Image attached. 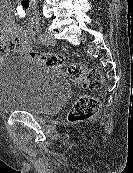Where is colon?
<instances>
[{"instance_id": "obj_1", "label": "colon", "mask_w": 133, "mask_h": 173, "mask_svg": "<svg viewBox=\"0 0 133 173\" xmlns=\"http://www.w3.org/2000/svg\"><path fill=\"white\" fill-rule=\"evenodd\" d=\"M15 46L16 42H9L5 47V51L0 52V55L12 50ZM30 57L49 67H66L68 75L76 81L83 90L94 91L103 85V77L99 70L88 68L84 63L79 61H66L62 54L32 52ZM98 107L99 102L95 97L87 94L82 95L74 103L69 113V120L71 122H78L89 119L97 111Z\"/></svg>"}]
</instances>
